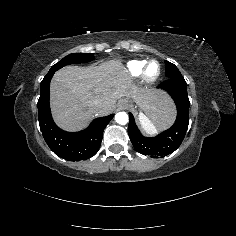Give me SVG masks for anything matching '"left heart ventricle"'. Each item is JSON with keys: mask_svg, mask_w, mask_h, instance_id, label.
Returning <instances> with one entry per match:
<instances>
[{"mask_svg": "<svg viewBox=\"0 0 236 236\" xmlns=\"http://www.w3.org/2000/svg\"><path fill=\"white\" fill-rule=\"evenodd\" d=\"M159 71H160V66L157 62L151 63L148 67V74L151 77L158 75Z\"/></svg>", "mask_w": 236, "mask_h": 236, "instance_id": "1", "label": "left heart ventricle"}]
</instances>
